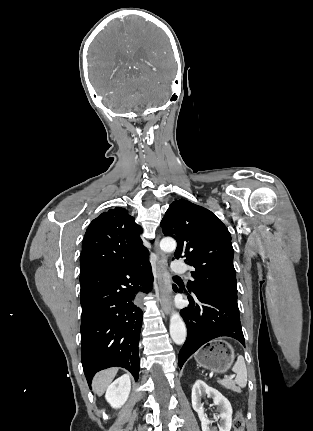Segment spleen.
I'll return each mask as SVG.
<instances>
[{
    "instance_id": "3e777b00",
    "label": "spleen",
    "mask_w": 313,
    "mask_h": 431,
    "mask_svg": "<svg viewBox=\"0 0 313 431\" xmlns=\"http://www.w3.org/2000/svg\"><path fill=\"white\" fill-rule=\"evenodd\" d=\"M232 371L236 374L235 382L240 388H244L247 384V368L244 357L239 355Z\"/></svg>"
}]
</instances>
